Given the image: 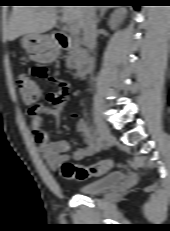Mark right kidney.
<instances>
[{"instance_id": "1", "label": "right kidney", "mask_w": 170, "mask_h": 231, "mask_svg": "<svg viewBox=\"0 0 170 231\" xmlns=\"http://www.w3.org/2000/svg\"><path fill=\"white\" fill-rule=\"evenodd\" d=\"M125 14H126V11L124 9H120V10L115 11L111 15L108 25L110 26L112 30H115L118 27L119 23L121 22Z\"/></svg>"}]
</instances>
